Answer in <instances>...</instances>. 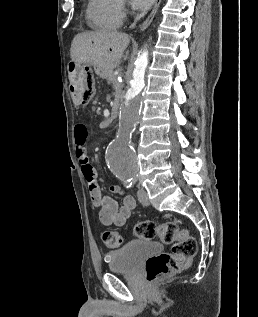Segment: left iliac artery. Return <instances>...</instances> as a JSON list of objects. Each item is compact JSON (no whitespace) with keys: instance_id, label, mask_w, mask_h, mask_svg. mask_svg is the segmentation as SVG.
Masks as SVG:
<instances>
[{"instance_id":"obj_1","label":"left iliac artery","mask_w":258,"mask_h":317,"mask_svg":"<svg viewBox=\"0 0 258 317\" xmlns=\"http://www.w3.org/2000/svg\"><path fill=\"white\" fill-rule=\"evenodd\" d=\"M130 182H131V184H135L136 183V179L135 178H130Z\"/></svg>"}]
</instances>
